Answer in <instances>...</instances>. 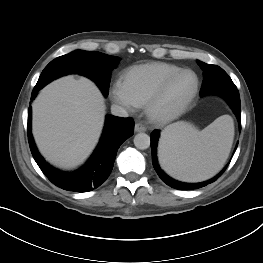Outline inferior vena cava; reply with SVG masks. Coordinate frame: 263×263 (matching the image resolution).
Segmentation results:
<instances>
[{
  "mask_svg": "<svg viewBox=\"0 0 263 263\" xmlns=\"http://www.w3.org/2000/svg\"><path fill=\"white\" fill-rule=\"evenodd\" d=\"M111 113L119 117H128L127 111L121 106L115 104L111 106Z\"/></svg>",
  "mask_w": 263,
  "mask_h": 263,
  "instance_id": "1",
  "label": "inferior vena cava"
}]
</instances>
